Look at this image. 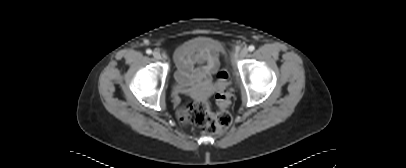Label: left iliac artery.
<instances>
[{"mask_svg": "<svg viewBox=\"0 0 406 168\" xmlns=\"http://www.w3.org/2000/svg\"><path fill=\"white\" fill-rule=\"evenodd\" d=\"M248 50H249L250 52L254 51V50H255V46H254V45H250V46L248 47Z\"/></svg>", "mask_w": 406, "mask_h": 168, "instance_id": "44dca946", "label": "left iliac artery"}]
</instances>
